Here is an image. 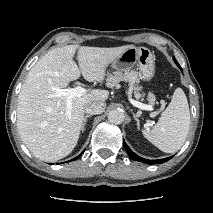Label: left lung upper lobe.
<instances>
[{"instance_id": "5c2ea615", "label": "left lung upper lobe", "mask_w": 213, "mask_h": 213, "mask_svg": "<svg viewBox=\"0 0 213 213\" xmlns=\"http://www.w3.org/2000/svg\"><path fill=\"white\" fill-rule=\"evenodd\" d=\"M174 61H175L176 65L179 66V64H178V62L176 61V59H174Z\"/></svg>"}]
</instances>
